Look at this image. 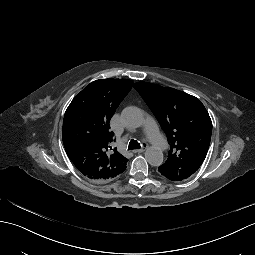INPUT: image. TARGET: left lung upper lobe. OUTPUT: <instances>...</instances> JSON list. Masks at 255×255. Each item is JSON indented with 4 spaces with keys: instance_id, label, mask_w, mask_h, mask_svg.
I'll return each instance as SVG.
<instances>
[{
    "instance_id": "5c2ea615",
    "label": "left lung upper lobe",
    "mask_w": 255,
    "mask_h": 255,
    "mask_svg": "<svg viewBox=\"0 0 255 255\" xmlns=\"http://www.w3.org/2000/svg\"><path fill=\"white\" fill-rule=\"evenodd\" d=\"M134 88L167 135L171 150L159 172L173 181L190 177L203 163L211 140L212 122L199 99L182 91L137 82Z\"/></svg>"
}]
</instances>
